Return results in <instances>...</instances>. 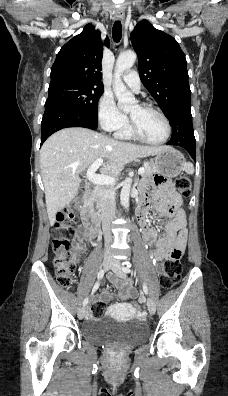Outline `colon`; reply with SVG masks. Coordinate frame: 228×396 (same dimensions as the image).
Here are the masks:
<instances>
[{"label": "colon", "instance_id": "colon-1", "mask_svg": "<svg viewBox=\"0 0 228 396\" xmlns=\"http://www.w3.org/2000/svg\"><path fill=\"white\" fill-rule=\"evenodd\" d=\"M178 193L189 196L191 183L187 176L175 180ZM77 213V204H71L58 213L55 223V236L52 240V252L54 254L53 265L58 283L63 287H70L75 272V258L71 251L70 237L74 234L73 222ZM183 250L177 247L169 249L168 256L164 262L160 284L164 289L174 288L180 280L182 266L181 258ZM103 313V304L93 302L89 306L88 315L91 318L100 317Z\"/></svg>", "mask_w": 228, "mask_h": 396}]
</instances>
